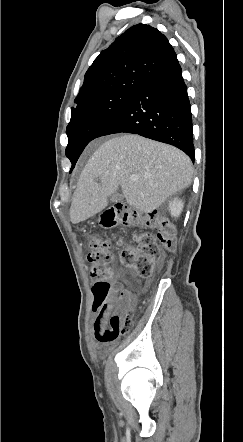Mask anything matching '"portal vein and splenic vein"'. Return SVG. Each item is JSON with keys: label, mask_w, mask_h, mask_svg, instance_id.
<instances>
[{"label": "portal vein and splenic vein", "mask_w": 243, "mask_h": 442, "mask_svg": "<svg viewBox=\"0 0 243 442\" xmlns=\"http://www.w3.org/2000/svg\"><path fill=\"white\" fill-rule=\"evenodd\" d=\"M131 179H132V180H137V179H138V175H136V174L132 175V176H131Z\"/></svg>", "instance_id": "portal-vein-and-splenic-vein-1"}]
</instances>
